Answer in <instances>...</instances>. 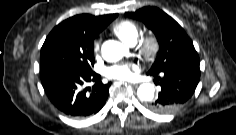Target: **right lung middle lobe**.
<instances>
[{"label": "right lung middle lobe", "mask_w": 236, "mask_h": 135, "mask_svg": "<svg viewBox=\"0 0 236 135\" xmlns=\"http://www.w3.org/2000/svg\"><path fill=\"white\" fill-rule=\"evenodd\" d=\"M96 35L74 24L57 25L41 49V70L92 71L93 43Z\"/></svg>", "instance_id": "1"}]
</instances>
